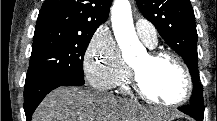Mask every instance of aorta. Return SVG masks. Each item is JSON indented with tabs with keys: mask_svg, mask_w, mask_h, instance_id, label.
<instances>
[{
	"mask_svg": "<svg viewBox=\"0 0 217 121\" xmlns=\"http://www.w3.org/2000/svg\"><path fill=\"white\" fill-rule=\"evenodd\" d=\"M112 27L115 38L121 48L124 60L134 58L142 49L132 18L129 0H115L111 12Z\"/></svg>",
	"mask_w": 217,
	"mask_h": 121,
	"instance_id": "obj_1",
	"label": "aorta"
}]
</instances>
